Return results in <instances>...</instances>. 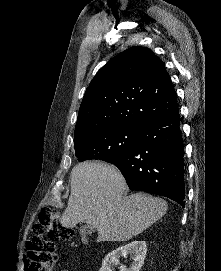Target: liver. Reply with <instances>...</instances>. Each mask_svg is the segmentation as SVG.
Returning <instances> with one entry per match:
<instances>
[{"mask_svg": "<svg viewBox=\"0 0 221 271\" xmlns=\"http://www.w3.org/2000/svg\"><path fill=\"white\" fill-rule=\"evenodd\" d=\"M125 177L104 161H80L71 171V193L60 219L63 227L88 223L96 241H128L167 211V201L148 193L124 195Z\"/></svg>", "mask_w": 221, "mask_h": 271, "instance_id": "1", "label": "liver"}]
</instances>
